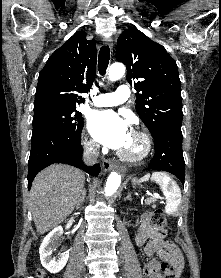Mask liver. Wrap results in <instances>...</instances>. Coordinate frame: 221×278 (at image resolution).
Instances as JSON below:
<instances>
[{"mask_svg": "<svg viewBox=\"0 0 221 278\" xmlns=\"http://www.w3.org/2000/svg\"><path fill=\"white\" fill-rule=\"evenodd\" d=\"M84 183L83 172L66 164H53L37 174L29 205L39 234L55 228L73 212Z\"/></svg>", "mask_w": 221, "mask_h": 278, "instance_id": "liver-1", "label": "liver"}]
</instances>
